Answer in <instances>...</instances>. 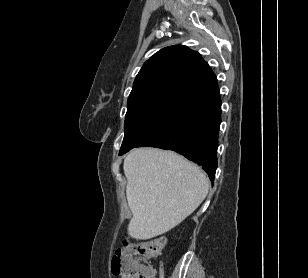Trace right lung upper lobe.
<instances>
[{
    "mask_svg": "<svg viewBox=\"0 0 308 278\" xmlns=\"http://www.w3.org/2000/svg\"><path fill=\"white\" fill-rule=\"evenodd\" d=\"M218 90L215 74L199 53L182 45L166 47L139 71L125 118L148 112L179 113Z\"/></svg>",
    "mask_w": 308,
    "mask_h": 278,
    "instance_id": "1",
    "label": "right lung upper lobe"
}]
</instances>
